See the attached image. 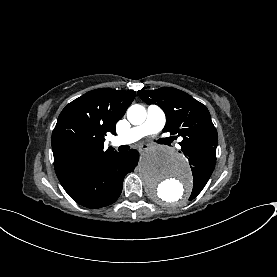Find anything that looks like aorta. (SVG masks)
<instances>
[{
	"label": "aorta",
	"instance_id": "aorta-1",
	"mask_svg": "<svg viewBox=\"0 0 277 277\" xmlns=\"http://www.w3.org/2000/svg\"><path fill=\"white\" fill-rule=\"evenodd\" d=\"M127 117L131 124L140 125L146 119V109L139 104L132 105ZM138 170L148 193L156 200L177 204L184 201L192 189L189 164L182 154L172 149H149Z\"/></svg>",
	"mask_w": 277,
	"mask_h": 277
}]
</instances>
